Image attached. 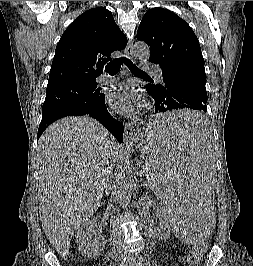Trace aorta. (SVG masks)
Segmentation results:
<instances>
[{
    "instance_id": "aorta-1",
    "label": "aorta",
    "mask_w": 253,
    "mask_h": 266,
    "mask_svg": "<svg viewBox=\"0 0 253 266\" xmlns=\"http://www.w3.org/2000/svg\"><path fill=\"white\" fill-rule=\"evenodd\" d=\"M133 55L136 59L147 61L150 56V48L144 42H137L134 45ZM118 180V198L122 206L127 207L134 190L132 168L129 160L127 159L122 162Z\"/></svg>"
}]
</instances>
